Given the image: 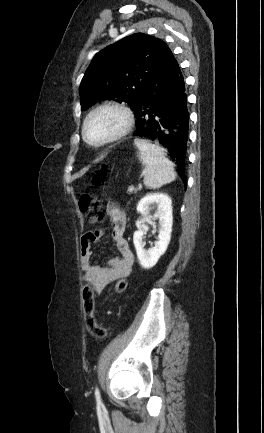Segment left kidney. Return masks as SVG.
I'll use <instances>...</instances> for the list:
<instances>
[{
	"label": "left kidney",
	"mask_w": 264,
	"mask_h": 433,
	"mask_svg": "<svg viewBox=\"0 0 264 433\" xmlns=\"http://www.w3.org/2000/svg\"><path fill=\"white\" fill-rule=\"evenodd\" d=\"M156 204L158 210L154 217L159 220V234L155 246L149 249L144 248L143 235L141 223L143 219L136 221L138 231L134 233L133 243L136 249L137 257L140 265L144 269H150L156 265L159 258L166 252L171 239L172 232V201L167 194L154 193L144 196L137 205V211L146 217L149 214L150 205Z\"/></svg>",
	"instance_id": "left-kidney-1"
}]
</instances>
